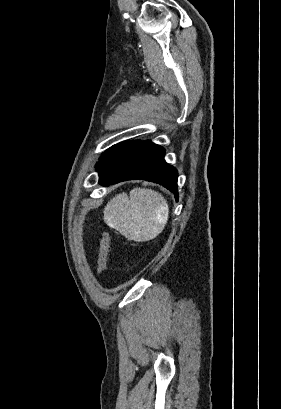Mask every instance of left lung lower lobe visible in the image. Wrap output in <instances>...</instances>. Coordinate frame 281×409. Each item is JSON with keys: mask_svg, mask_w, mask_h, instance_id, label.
<instances>
[{"mask_svg": "<svg viewBox=\"0 0 281 409\" xmlns=\"http://www.w3.org/2000/svg\"><path fill=\"white\" fill-rule=\"evenodd\" d=\"M164 154L159 145L150 141L139 142L99 170V184L106 186L126 180H148L163 185L178 200V173L165 162Z\"/></svg>", "mask_w": 281, "mask_h": 409, "instance_id": "left-lung-lower-lobe-1", "label": "left lung lower lobe"}]
</instances>
